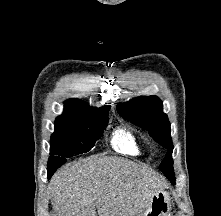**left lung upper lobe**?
I'll list each match as a JSON object with an SVG mask.
<instances>
[{
  "label": "left lung upper lobe",
  "mask_w": 221,
  "mask_h": 216,
  "mask_svg": "<svg viewBox=\"0 0 221 216\" xmlns=\"http://www.w3.org/2000/svg\"><path fill=\"white\" fill-rule=\"evenodd\" d=\"M117 111L124 119L146 129L156 142L168 149L159 169L175 183L170 123L163 113L162 101L156 96L137 97L126 103H118Z\"/></svg>",
  "instance_id": "1"
}]
</instances>
